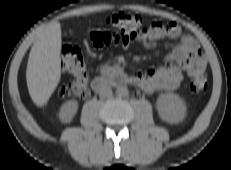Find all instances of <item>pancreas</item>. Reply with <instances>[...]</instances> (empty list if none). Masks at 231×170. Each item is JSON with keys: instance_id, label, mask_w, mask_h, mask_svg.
<instances>
[{"instance_id": "1", "label": "pancreas", "mask_w": 231, "mask_h": 170, "mask_svg": "<svg viewBox=\"0 0 231 170\" xmlns=\"http://www.w3.org/2000/svg\"><path fill=\"white\" fill-rule=\"evenodd\" d=\"M101 71H102L103 73H107V72L109 71V69H108L107 67H105V68H102Z\"/></svg>"}]
</instances>
